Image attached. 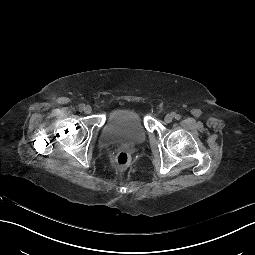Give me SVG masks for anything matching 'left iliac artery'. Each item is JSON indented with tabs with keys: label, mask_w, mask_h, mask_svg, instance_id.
<instances>
[{
	"label": "left iliac artery",
	"mask_w": 255,
	"mask_h": 255,
	"mask_svg": "<svg viewBox=\"0 0 255 255\" xmlns=\"http://www.w3.org/2000/svg\"><path fill=\"white\" fill-rule=\"evenodd\" d=\"M180 118H181V116H180L179 114H176V115H175V119H176V120H179Z\"/></svg>",
	"instance_id": "obj_1"
}]
</instances>
